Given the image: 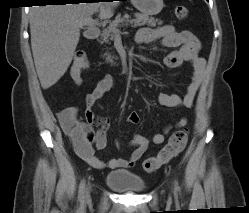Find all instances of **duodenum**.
Instances as JSON below:
<instances>
[{"instance_id":"obj_1","label":"duodenum","mask_w":249,"mask_h":213,"mask_svg":"<svg viewBox=\"0 0 249 213\" xmlns=\"http://www.w3.org/2000/svg\"><path fill=\"white\" fill-rule=\"evenodd\" d=\"M99 35V30L95 27L93 28H90L86 31V38L89 40V41H94L97 39Z\"/></svg>"}]
</instances>
